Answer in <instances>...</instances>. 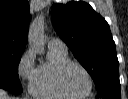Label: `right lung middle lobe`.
<instances>
[{"label":"right lung middle lobe","mask_w":128,"mask_h":99,"mask_svg":"<svg viewBox=\"0 0 128 99\" xmlns=\"http://www.w3.org/2000/svg\"><path fill=\"white\" fill-rule=\"evenodd\" d=\"M22 53L23 51L0 50V88L14 94L23 92L18 77Z\"/></svg>","instance_id":"obj_1"}]
</instances>
